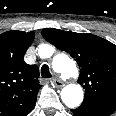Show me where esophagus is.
Segmentation results:
<instances>
[{"instance_id": "obj_1", "label": "esophagus", "mask_w": 116, "mask_h": 116, "mask_svg": "<svg viewBox=\"0 0 116 116\" xmlns=\"http://www.w3.org/2000/svg\"><path fill=\"white\" fill-rule=\"evenodd\" d=\"M52 84L55 86V87H63L64 86V83L58 79V78H52Z\"/></svg>"}]
</instances>
